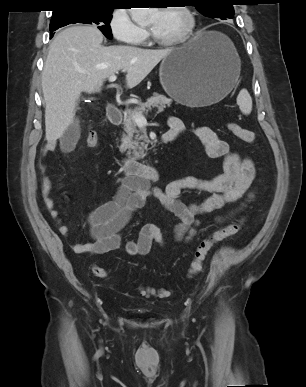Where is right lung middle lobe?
<instances>
[{"instance_id":"1","label":"right lung middle lobe","mask_w":306,"mask_h":387,"mask_svg":"<svg viewBox=\"0 0 306 387\" xmlns=\"http://www.w3.org/2000/svg\"><path fill=\"white\" fill-rule=\"evenodd\" d=\"M114 8L103 6L91 7H70L61 12L52 14L50 22V31L72 24L84 23L98 25L97 28L107 37L112 39V32L110 28V21L112 19V12ZM51 35H53L51 33Z\"/></svg>"}]
</instances>
